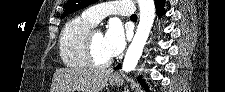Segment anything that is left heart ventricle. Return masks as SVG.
<instances>
[{
	"mask_svg": "<svg viewBox=\"0 0 225 92\" xmlns=\"http://www.w3.org/2000/svg\"><path fill=\"white\" fill-rule=\"evenodd\" d=\"M93 50L97 59L101 62L110 60L104 47V35L101 32H94L92 35Z\"/></svg>",
	"mask_w": 225,
	"mask_h": 92,
	"instance_id": "b2bd125f",
	"label": "left heart ventricle"
}]
</instances>
